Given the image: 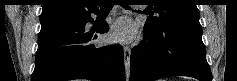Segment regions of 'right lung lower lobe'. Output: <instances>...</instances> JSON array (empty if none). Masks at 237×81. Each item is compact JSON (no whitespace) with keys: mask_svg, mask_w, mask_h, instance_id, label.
<instances>
[{"mask_svg":"<svg viewBox=\"0 0 237 81\" xmlns=\"http://www.w3.org/2000/svg\"><path fill=\"white\" fill-rule=\"evenodd\" d=\"M97 11L41 23L31 81H125L122 47L97 48L89 43L93 34L85 33L86 23L93 21L90 14ZM107 31L108 25L104 22L98 32Z\"/></svg>","mask_w":237,"mask_h":81,"instance_id":"1","label":"right lung lower lobe"}]
</instances>
